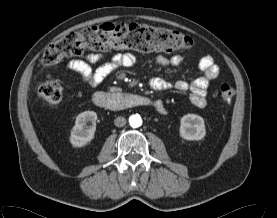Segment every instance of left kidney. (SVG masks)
Listing matches in <instances>:
<instances>
[{
  "instance_id": "5707ae66",
  "label": "left kidney",
  "mask_w": 277,
  "mask_h": 218,
  "mask_svg": "<svg viewBox=\"0 0 277 218\" xmlns=\"http://www.w3.org/2000/svg\"><path fill=\"white\" fill-rule=\"evenodd\" d=\"M206 135L204 120L196 114H186L181 118L180 136L185 140H201Z\"/></svg>"
}]
</instances>
